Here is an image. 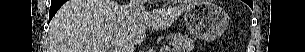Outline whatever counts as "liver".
<instances>
[{
	"label": "liver",
	"mask_w": 305,
	"mask_h": 52,
	"mask_svg": "<svg viewBox=\"0 0 305 52\" xmlns=\"http://www.w3.org/2000/svg\"><path fill=\"white\" fill-rule=\"evenodd\" d=\"M192 4L129 13L113 0H69L50 23L49 52H119L121 44H140L146 27H169Z\"/></svg>",
	"instance_id": "liver-1"
}]
</instances>
